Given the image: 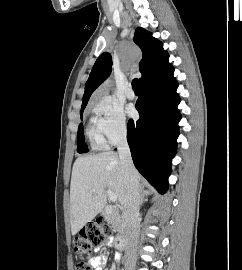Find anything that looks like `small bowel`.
<instances>
[{
  "instance_id": "1",
  "label": "small bowel",
  "mask_w": 242,
  "mask_h": 270,
  "mask_svg": "<svg viewBox=\"0 0 242 270\" xmlns=\"http://www.w3.org/2000/svg\"><path fill=\"white\" fill-rule=\"evenodd\" d=\"M112 242L113 241L111 239H109V240H107L106 245H110V244H112ZM105 263H106V257L103 256V255L96 257L92 261V264L95 266L96 270H102V268L104 267ZM119 264H120V258L118 257L117 262H116V265L119 266Z\"/></svg>"
}]
</instances>
